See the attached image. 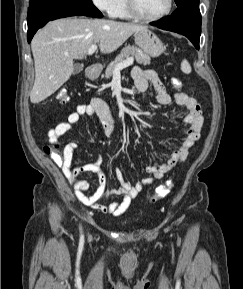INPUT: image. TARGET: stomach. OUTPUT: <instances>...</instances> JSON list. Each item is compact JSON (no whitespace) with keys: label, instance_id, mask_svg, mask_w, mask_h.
<instances>
[{"label":"stomach","instance_id":"1","mask_svg":"<svg viewBox=\"0 0 243 289\" xmlns=\"http://www.w3.org/2000/svg\"><path fill=\"white\" fill-rule=\"evenodd\" d=\"M135 43L145 54L151 57H157L165 50L163 42L147 27L135 33ZM91 78H94V76L91 75Z\"/></svg>","mask_w":243,"mask_h":289}]
</instances>
